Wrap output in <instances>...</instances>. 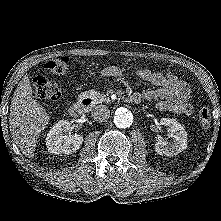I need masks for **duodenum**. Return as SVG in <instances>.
Masks as SVG:
<instances>
[{
  "instance_id": "duodenum-1",
  "label": "duodenum",
  "mask_w": 221,
  "mask_h": 221,
  "mask_svg": "<svg viewBox=\"0 0 221 221\" xmlns=\"http://www.w3.org/2000/svg\"><path fill=\"white\" fill-rule=\"evenodd\" d=\"M129 100L130 102L137 103L140 101V96L138 94H132L129 97ZM92 103L93 99L91 97L84 96L80 101L72 103L69 106L68 112L74 118L81 117L84 114L85 109Z\"/></svg>"
}]
</instances>
